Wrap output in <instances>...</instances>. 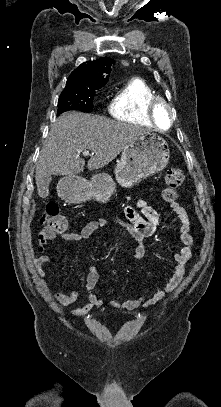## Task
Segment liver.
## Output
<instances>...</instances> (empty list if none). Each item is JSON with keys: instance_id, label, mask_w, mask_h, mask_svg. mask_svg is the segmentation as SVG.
<instances>
[{"instance_id": "1", "label": "liver", "mask_w": 221, "mask_h": 407, "mask_svg": "<svg viewBox=\"0 0 221 407\" xmlns=\"http://www.w3.org/2000/svg\"><path fill=\"white\" fill-rule=\"evenodd\" d=\"M148 132L140 126L110 120L81 112L61 114L51 125L50 132L36 163V184L45 176H73L84 171V150L93 155L88 170L108 165L140 135Z\"/></svg>"}]
</instances>
